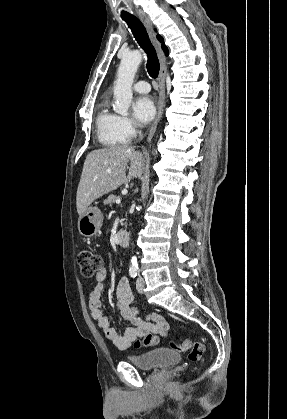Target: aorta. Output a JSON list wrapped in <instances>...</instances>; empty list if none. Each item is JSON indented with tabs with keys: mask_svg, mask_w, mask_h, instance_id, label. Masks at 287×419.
<instances>
[{
	"mask_svg": "<svg viewBox=\"0 0 287 419\" xmlns=\"http://www.w3.org/2000/svg\"><path fill=\"white\" fill-rule=\"evenodd\" d=\"M142 61V54L135 50L123 55L118 71L117 78L114 82V98L116 104L114 111L121 115H127L130 103L132 101V84L137 69ZM130 270L137 271L138 263L136 256H132L130 261Z\"/></svg>",
	"mask_w": 287,
	"mask_h": 419,
	"instance_id": "obj_1",
	"label": "aorta"
}]
</instances>
